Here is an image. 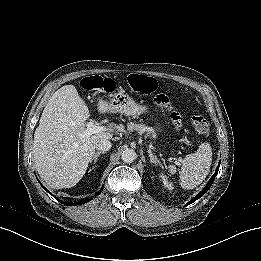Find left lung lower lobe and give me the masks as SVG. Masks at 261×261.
Here are the masks:
<instances>
[{"label":"left lung lower lobe","mask_w":261,"mask_h":261,"mask_svg":"<svg viewBox=\"0 0 261 261\" xmlns=\"http://www.w3.org/2000/svg\"><path fill=\"white\" fill-rule=\"evenodd\" d=\"M219 166H220V164H219ZM219 166L217 167L216 172L213 174V176L211 177V179L208 182V184L206 185V187L196 197H194L188 204L193 203L194 201H196L197 199L202 197L208 191V189L211 187V185H212V183H213V181H214V179H215V177L218 173Z\"/></svg>","instance_id":"obj_1"}]
</instances>
